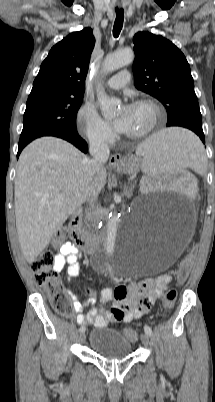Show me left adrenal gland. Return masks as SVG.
<instances>
[{
  "label": "left adrenal gland",
  "instance_id": "obj_1",
  "mask_svg": "<svg viewBox=\"0 0 215 402\" xmlns=\"http://www.w3.org/2000/svg\"><path fill=\"white\" fill-rule=\"evenodd\" d=\"M133 189H134V185L133 186H124V194L127 198H131L132 194H133Z\"/></svg>",
  "mask_w": 215,
  "mask_h": 402
}]
</instances>
